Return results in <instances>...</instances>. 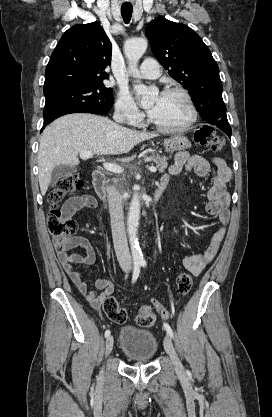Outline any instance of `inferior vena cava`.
<instances>
[{
	"label": "inferior vena cava",
	"mask_w": 272,
	"mask_h": 417,
	"mask_svg": "<svg viewBox=\"0 0 272 417\" xmlns=\"http://www.w3.org/2000/svg\"><path fill=\"white\" fill-rule=\"evenodd\" d=\"M114 120L118 123L123 122L124 117L120 112L114 113ZM108 204L111 220L112 238L116 257L121 269L129 272L132 268L131 255L128 248L124 216L122 207V196L114 186H107Z\"/></svg>",
	"instance_id": "obj_1"
}]
</instances>
